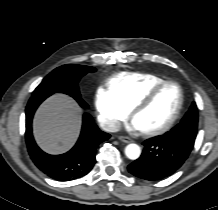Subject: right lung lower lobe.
<instances>
[{"label": "right lung lower lobe", "mask_w": 218, "mask_h": 210, "mask_svg": "<svg viewBox=\"0 0 218 210\" xmlns=\"http://www.w3.org/2000/svg\"><path fill=\"white\" fill-rule=\"evenodd\" d=\"M48 96L50 95L32 96L26 107L25 138L29 155L35 165L52 179L69 181L82 177L93 168L98 145L110 135L99 130L89 114H84L80 137L70 151L61 155H49L43 152L33 138L32 118L38 106ZM76 100L82 108L88 107L81 98Z\"/></svg>", "instance_id": "obj_1"}]
</instances>
